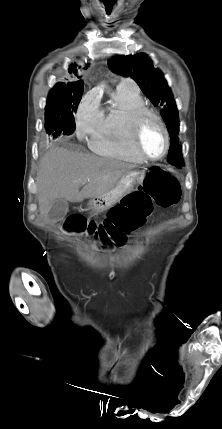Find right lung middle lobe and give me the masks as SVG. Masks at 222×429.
Masks as SVG:
<instances>
[{
  "instance_id": "1",
  "label": "right lung middle lobe",
  "mask_w": 222,
  "mask_h": 429,
  "mask_svg": "<svg viewBox=\"0 0 222 429\" xmlns=\"http://www.w3.org/2000/svg\"><path fill=\"white\" fill-rule=\"evenodd\" d=\"M84 85L66 92L49 93L45 107V128L50 139L70 135L75 130L74 113L82 98Z\"/></svg>"
}]
</instances>
